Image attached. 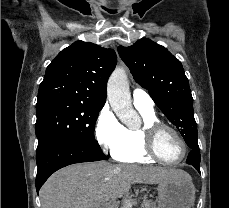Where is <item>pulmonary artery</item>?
Returning <instances> with one entry per match:
<instances>
[{"mask_svg": "<svg viewBox=\"0 0 229 208\" xmlns=\"http://www.w3.org/2000/svg\"><path fill=\"white\" fill-rule=\"evenodd\" d=\"M133 104L137 109L154 111V102L152 98L141 88L134 89Z\"/></svg>", "mask_w": 229, "mask_h": 208, "instance_id": "e3ab8cb5", "label": "pulmonary artery"}]
</instances>
